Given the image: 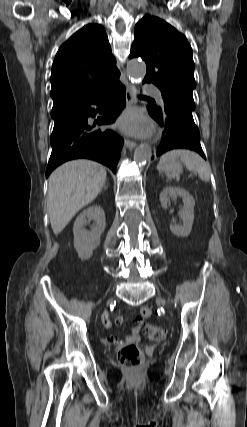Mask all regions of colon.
<instances>
[{"instance_id":"5ec220e1","label":"colon","mask_w":247,"mask_h":427,"mask_svg":"<svg viewBox=\"0 0 247 427\" xmlns=\"http://www.w3.org/2000/svg\"><path fill=\"white\" fill-rule=\"evenodd\" d=\"M146 337L151 341H161L166 337V332L153 324H147L144 328ZM119 362L128 369H137L144 361L141 350L134 344L123 346L118 352Z\"/></svg>"}]
</instances>
